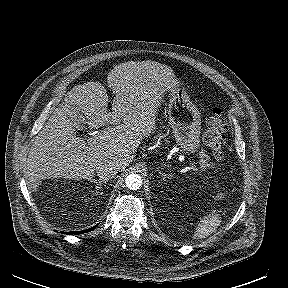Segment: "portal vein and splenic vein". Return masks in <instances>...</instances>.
Here are the masks:
<instances>
[{"mask_svg": "<svg viewBox=\"0 0 288 288\" xmlns=\"http://www.w3.org/2000/svg\"><path fill=\"white\" fill-rule=\"evenodd\" d=\"M97 136H98V135H95V134H94V135H92L91 137H89V138L87 139V141L90 142V143L93 142V141H96L97 138H98ZM190 167H191L192 170L198 171V168H197L195 165H190Z\"/></svg>", "mask_w": 288, "mask_h": 288, "instance_id": "obj_1", "label": "portal vein and splenic vein"}]
</instances>
